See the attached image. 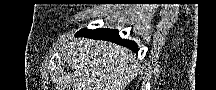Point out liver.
<instances>
[{
    "mask_svg": "<svg viewBox=\"0 0 216 90\" xmlns=\"http://www.w3.org/2000/svg\"><path fill=\"white\" fill-rule=\"evenodd\" d=\"M66 60L72 66L73 90H124L136 72L131 50L111 42L71 38Z\"/></svg>",
    "mask_w": 216,
    "mask_h": 90,
    "instance_id": "obj_1",
    "label": "liver"
}]
</instances>
